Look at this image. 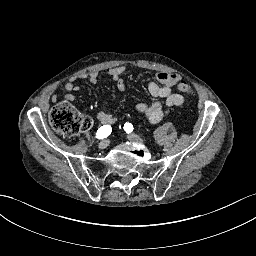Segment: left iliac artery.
I'll return each mask as SVG.
<instances>
[{"label": "left iliac artery", "mask_w": 256, "mask_h": 256, "mask_svg": "<svg viewBox=\"0 0 256 256\" xmlns=\"http://www.w3.org/2000/svg\"><path fill=\"white\" fill-rule=\"evenodd\" d=\"M133 125L131 124V123H125L124 124V130L126 131V133H130V132H132L133 131Z\"/></svg>", "instance_id": "left-iliac-artery-1"}]
</instances>
